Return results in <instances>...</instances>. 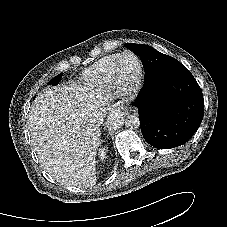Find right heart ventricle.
<instances>
[{
    "mask_svg": "<svg viewBox=\"0 0 227 227\" xmlns=\"http://www.w3.org/2000/svg\"><path fill=\"white\" fill-rule=\"evenodd\" d=\"M119 57V54H112L100 59L86 73V80L93 85H106L111 83V69Z\"/></svg>",
    "mask_w": 227,
    "mask_h": 227,
    "instance_id": "e07e8e85",
    "label": "right heart ventricle"
}]
</instances>
